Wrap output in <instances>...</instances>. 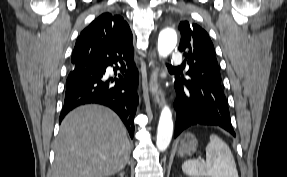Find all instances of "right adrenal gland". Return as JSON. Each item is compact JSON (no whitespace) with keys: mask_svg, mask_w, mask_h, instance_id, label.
<instances>
[{"mask_svg":"<svg viewBox=\"0 0 287 177\" xmlns=\"http://www.w3.org/2000/svg\"><path fill=\"white\" fill-rule=\"evenodd\" d=\"M120 177H124V171L119 174Z\"/></svg>","mask_w":287,"mask_h":177,"instance_id":"obj_1","label":"right adrenal gland"}]
</instances>
